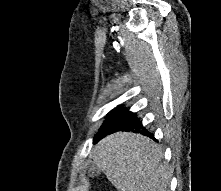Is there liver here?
<instances>
[{
  "mask_svg": "<svg viewBox=\"0 0 221 191\" xmlns=\"http://www.w3.org/2000/svg\"><path fill=\"white\" fill-rule=\"evenodd\" d=\"M149 138L116 132L94 148L93 162L118 191H168L171 172Z\"/></svg>",
  "mask_w": 221,
  "mask_h": 191,
  "instance_id": "obj_1",
  "label": "liver"
}]
</instances>
